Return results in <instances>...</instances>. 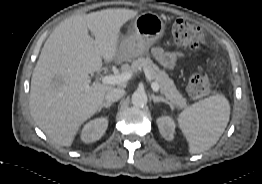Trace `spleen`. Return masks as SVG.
<instances>
[{
  "label": "spleen",
  "instance_id": "spleen-1",
  "mask_svg": "<svg viewBox=\"0 0 262 184\" xmlns=\"http://www.w3.org/2000/svg\"><path fill=\"white\" fill-rule=\"evenodd\" d=\"M230 117L227 98L216 94L188 106L178 115V123L191 154L201 153L217 143Z\"/></svg>",
  "mask_w": 262,
  "mask_h": 184
}]
</instances>
